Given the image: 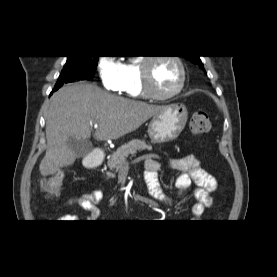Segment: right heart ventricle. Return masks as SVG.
I'll return each instance as SVG.
<instances>
[{
    "label": "right heart ventricle",
    "instance_id": "right-heart-ventricle-1",
    "mask_svg": "<svg viewBox=\"0 0 277 277\" xmlns=\"http://www.w3.org/2000/svg\"><path fill=\"white\" fill-rule=\"evenodd\" d=\"M141 60L132 61L123 65L124 86L122 91L132 98H144L141 89Z\"/></svg>",
    "mask_w": 277,
    "mask_h": 277
}]
</instances>
